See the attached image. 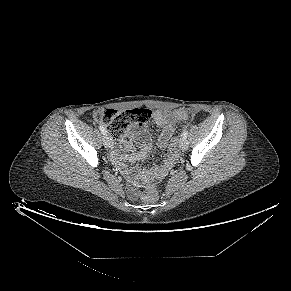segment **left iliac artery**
Returning <instances> with one entry per match:
<instances>
[{
  "mask_svg": "<svg viewBox=\"0 0 291 291\" xmlns=\"http://www.w3.org/2000/svg\"><path fill=\"white\" fill-rule=\"evenodd\" d=\"M182 136H183V138H187V136H188V131L187 130H184L183 131V133H182Z\"/></svg>",
  "mask_w": 291,
  "mask_h": 291,
  "instance_id": "1",
  "label": "left iliac artery"
}]
</instances>
